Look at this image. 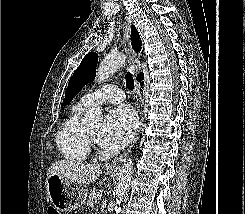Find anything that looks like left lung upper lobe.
<instances>
[{"mask_svg": "<svg viewBox=\"0 0 245 214\" xmlns=\"http://www.w3.org/2000/svg\"><path fill=\"white\" fill-rule=\"evenodd\" d=\"M97 62L98 55L94 52L88 53L83 58L69 80L62 107L70 103L76 94L94 78Z\"/></svg>", "mask_w": 245, "mask_h": 214, "instance_id": "5c2ea615", "label": "left lung upper lobe"}]
</instances>
